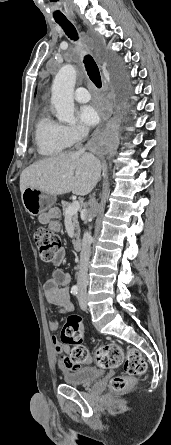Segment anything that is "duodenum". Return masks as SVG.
<instances>
[{"mask_svg": "<svg viewBox=\"0 0 171 445\" xmlns=\"http://www.w3.org/2000/svg\"><path fill=\"white\" fill-rule=\"evenodd\" d=\"M82 246V241L80 238H75L73 240V247L76 251H79L81 249Z\"/></svg>", "mask_w": 171, "mask_h": 445, "instance_id": "410a0bca", "label": "duodenum"}]
</instances>
